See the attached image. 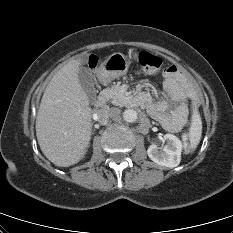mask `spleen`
<instances>
[{
	"label": "spleen",
	"mask_w": 233,
	"mask_h": 233,
	"mask_svg": "<svg viewBox=\"0 0 233 233\" xmlns=\"http://www.w3.org/2000/svg\"><path fill=\"white\" fill-rule=\"evenodd\" d=\"M202 136V121L197 108L193 109L191 124L189 128V145L188 148L193 151L197 148Z\"/></svg>",
	"instance_id": "obj_1"
}]
</instances>
